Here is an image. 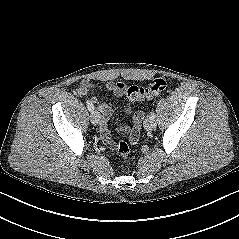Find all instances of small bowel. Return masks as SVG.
I'll return each instance as SVG.
<instances>
[{"instance_id":"small-bowel-1","label":"small bowel","mask_w":239,"mask_h":239,"mask_svg":"<svg viewBox=\"0 0 239 239\" xmlns=\"http://www.w3.org/2000/svg\"><path fill=\"white\" fill-rule=\"evenodd\" d=\"M103 90L112 93L115 97H121L125 92V85L122 82H107L105 85L101 86L90 81H82L76 89L78 95H87L89 93H94L96 91ZM91 103L95 104L101 113V124L100 133L102 142L108 147H113L114 142L111 137L110 130L108 128V121L112 115V108L106 103H100L97 98L93 97ZM126 113H130L129 107H126ZM140 119V116H138ZM136 120V119H135ZM122 132L129 134V140L131 143H136L138 141L139 134L134 133V126L131 128L129 126L121 127Z\"/></svg>"}]
</instances>
